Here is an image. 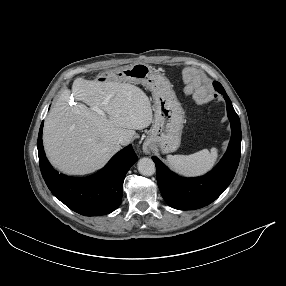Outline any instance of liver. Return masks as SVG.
Here are the masks:
<instances>
[{
  "mask_svg": "<svg viewBox=\"0 0 286 286\" xmlns=\"http://www.w3.org/2000/svg\"><path fill=\"white\" fill-rule=\"evenodd\" d=\"M70 95L90 108L82 103L70 106ZM107 98L108 103L103 104ZM152 119L150 100L140 88L80 77L71 91H62L45 120V151L51 164L64 173H91L120 150V137L129 144L135 130L146 128Z\"/></svg>",
  "mask_w": 286,
  "mask_h": 286,
  "instance_id": "obj_1",
  "label": "liver"
}]
</instances>
